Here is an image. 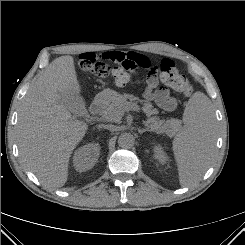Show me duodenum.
Segmentation results:
<instances>
[{
  "instance_id": "duodenum-1",
  "label": "duodenum",
  "mask_w": 245,
  "mask_h": 245,
  "mask_svg": "<svg viewBox=\"0 0 245 245\" xmlns=\"http://www.w3.org/2000/svg\"><path fill=\"white\" fill-rule=\"evenodd\" d=\"M107 102H108L107 96L105 95L97 96L91 105V112L94 115L100 114L105 108Z\"/></svg>"
}]
</instances>
